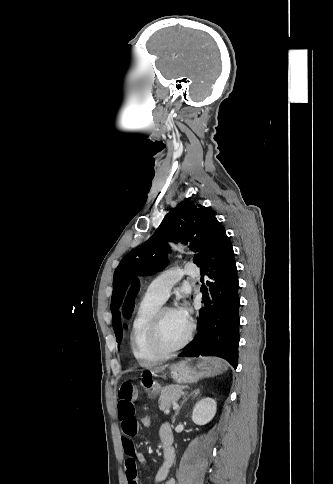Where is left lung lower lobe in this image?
<instances>
[{
    "mask_svg": "<svg viewBox=\"0 0 333 484\" xmlns=\"http://www.w3.org/2000/svg\"><path fill=\"white\" fill-rule=\"evenodd\" d=\"M195 263L204 275L203 303L199 310V335L180 357L214 355L226 359L234 368L238 365L239 345V283L232 243L224 227L212 219L204 243Z\"/></svg>",
    "mask_w": 333,
    "mask_h": 484,
    "instance_id": "0a47b994",
    "label": "left lung lower lobe"
}]
</instances>
